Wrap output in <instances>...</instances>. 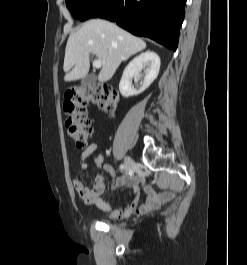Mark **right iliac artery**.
<instances>
[{
	"label": "right iliac artery",
	"mask_w": 247,
	"mask_h": 265,
	"mask_svg": "<svg viewBox=\"0 0 247 265\" xmlns=\"http://www.w3.org/2000/svg\"><path fill=\"white\" fill-rule=\"evenodd\" d=\"M120 170H123L125 168V166L123 164L120 165Z\"/></svg>",
	"instance_id": "obj_1"
}]
</instances>
